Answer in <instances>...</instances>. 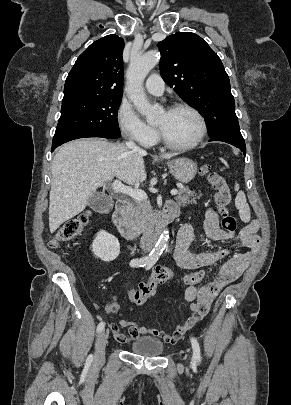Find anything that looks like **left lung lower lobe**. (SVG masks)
I'll list each match as a JSON object with an SVG mask.
<instances>
[{
	"instance_id": "obj_1",
	"label": "left lung lower lobe",
	"mask_w": 291,
	"mask_h": 405,
	"mask_svg": "<svg viewBox=\"0 0 291 405\" xmlns=\"http://www.w3.org/2000/svg\"><path fill=\"white\" fill-rule=\"evenodd\" d=\"M209 141H223L239 148L246 155V146L242 135L221 134L211 138Z\"/></svg>"
}]
</instances>
